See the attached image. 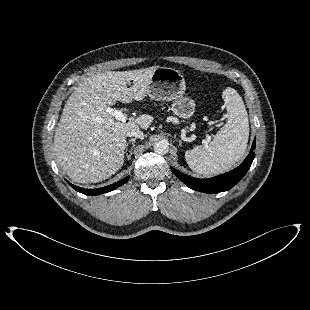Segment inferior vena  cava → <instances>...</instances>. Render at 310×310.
I'll return each instance as SVG.
<instances>
[{
  "label": "inferior vena cava",
  "mask_w": 310,
  "mask_h": 310,
  "mask_svg": "<svg viewBox=\"0 0 310 310\" xmlns=\"http://www.w3.org/2000/svg\"><path fill=\"white\" fill-rule=\"evenodd\" d=\"M127 136L128 137H135V138H144L143 132L137 128V129H132L130 131L127 132Z\"/></svg>",
  "instance_id": "1"
}]
</instances>
